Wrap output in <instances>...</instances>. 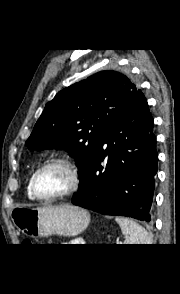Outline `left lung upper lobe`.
Masks as SVG:
<instances>
[{"mask_svg": "<svg viewBox=\"0 0 180 294\" xmlns=\"http://www.w3.org/2000/svg\"><path fill=\"white\" fill-rule=\"evenodd\" d=\"M139 89L117 71H101L56 94L26 141L29 149H65L75 158L80 184L107 133Z\"/></svg>", "mask_w": 180, "mask_h": 294, "instance_id": "left-lung-upper-lobe-1", "label": "left lung upper lobe"}]
</instances>
